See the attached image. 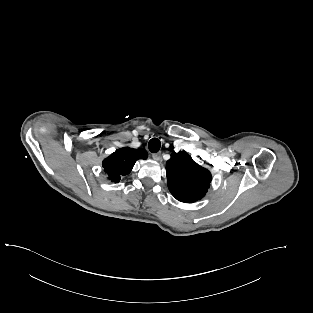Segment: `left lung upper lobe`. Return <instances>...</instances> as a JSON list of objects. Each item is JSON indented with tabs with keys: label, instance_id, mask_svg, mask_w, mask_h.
Returning <instances> with one entry per match:
<instances>
[{
	"label": "left lung upper lobe",
	"instance_id": "5c2ea615",
	"mask_svg": "<svg viewBox=\"0 0 313 313\" xmlns=\"http://www.w3.org/2000/svg\"><path fill=\"white\" fill-rule=\"evenodd\" d=\"M168 188L179 201L193 203L203 198L212 180L211 173L186 152H173L166 163Z\"/></svg>",
	"mask_w": 313,
	"mask_h": 313
}]
</instances>
